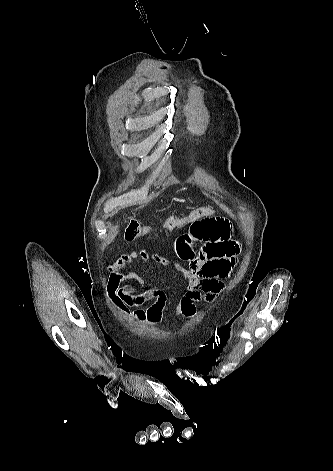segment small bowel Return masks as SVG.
Listing matches in <instances>:
<instances>
[{"label":"small bowel","instance_id":"1","mask_svg":"<svg viewBox=\"0 0 333 471\" xmlns=\"http://www.w3.org/2000/svg\"><path fill=\"white\" fill-rule=\"evenodd\" d=\"M201 244L199 250L197 245ZM178 256L188 263H173L147 250H133L110 266L107 296L120 311L147 327L161 324L168 296L160 288H144L145 281L137 272L126 268L137 259L152 261L162 267H173L185 280L187 290L179 299L174 319H191L199 302H214L224 291L223 279L233 271L241 251L232 239V224L220 216H206L190 222V229L176 241Z\"/></svg>","mask_w":333,"mask_h":471}]
</instances>
